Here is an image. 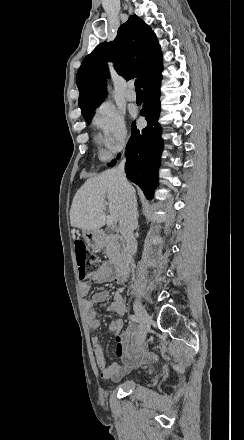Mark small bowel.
Masks as SVG:
<instances>
[{
	"label": "small bowel",
	"instance_id": "obj_1",
	"mask_svg": "<svg viewBox=\"0 0 244 440\" xmlns=\"http://www.w3.org/2000/svg\"><path fill=\"white\" fill-rule=\"evenodd\" d=\"M89 281L99 284L114 282L123 285L127 282V275L126 273H119L113 266L105 263L89 277ZM89 281L80 283L79 290L82 296H86L90 292ZM109 295L108 290H101L93 293L90 299L82 301L83 315L91 333L97 331L101 326V321L97 316L94 306L105 302ZM108 310L120 316L124 314L125 302L120 291L116 290L113 292L112 302ZM109 328L115 335L114 353L119 359L118 363L107 364L106 353L98 337L95 335L91 337L95 361L102 379L118 381L130 374L139 365L154 359V356L148 352L144 344L135 342L132 327L123 330L122 320H113Z\"/></svg>",
	"mask_w": 244,
	"mask_h": 440
}]
</instances>
